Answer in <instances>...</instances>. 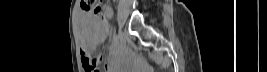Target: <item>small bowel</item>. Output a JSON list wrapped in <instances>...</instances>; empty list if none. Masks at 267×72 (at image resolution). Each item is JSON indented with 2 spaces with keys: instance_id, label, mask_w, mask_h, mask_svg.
Segmentation results:
<instances>
[{
  "instance_id": "obj_1",
  "label": "small bowel",
  "mask_w": 267,
  "mask_h": 72,
  "mask_svg": "<svg viewBox=\"0 0 267 72\" xmlns=\"http://www.w3.org/2000/svg\"><path fill=\"white\" fill-rule=\"evenodd\" d=\"M111 12H112L111 8L108 7L107 8V15L110 16ZM90 25L94 29V33L92 36V44H93V46H95L98 42H100L101 40H103L105 38L106 32H105V30L104 31L99 30L96 21L90 22ZM88 59H89V56L86 53V50L82 51L81 60H82V63L85 67L87 66Z\"/></svg>"
}]
</instances>
